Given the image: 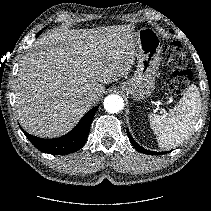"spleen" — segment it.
<instances>
[{
  "label": "spleen",
  "instance_id": "1",
  "mask_svg": "<svg viewBox=\"0 0 211 211\" xmlns=\"http://www.w3.org/2000/svg\"><path fill=\"white\" fill-rule=\"evenodd\" d=\"M200 110L201 96L197 86L192 84L169 114H150V125L158 145L170 149L183 143L193 133Z\"/></svg>",
  "mask_w": 211,
  "mask_h": 211
}]
</instances>
